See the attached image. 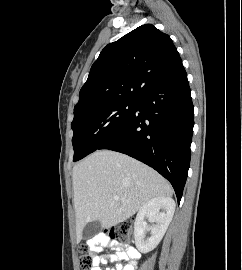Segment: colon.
I'll return each mask as SVG.
<instances>
[{
  "label": "colon",
  "mask_w": 242,
  "mask_h": 270,
  "mask_svg": "<svg viewBox=\"0 0 242 270\" xmlns=\"http://www.w3.org/2000/svg\"><path fill=\"white\" fill-rule=\"evenodd\" d=\"M134 224L130 220L122 221L115 227L104 231L101 235L111 240L130 241L133 238ZM90 247L83 245L80 248L79 264L83 270H91L93 260L89 253ZM92 251V250H91Z\"/></svg>",
  "instance_id": "obj_1"
}]
</instances>
